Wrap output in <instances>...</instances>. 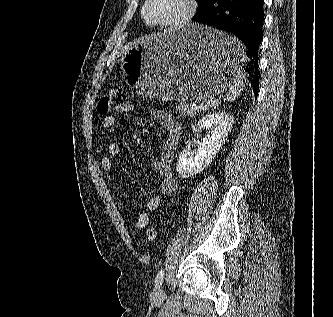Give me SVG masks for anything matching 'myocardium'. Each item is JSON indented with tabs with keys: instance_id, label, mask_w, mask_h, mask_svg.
<instances>
[{
	"instance_id": "f54148a6",
	"label": "myocardium",
	"mask_w": 333,
	"mask_h": 317,
	"mask_svg": "<svg viewBox=\"0 0 333 317\" xmlns=\"http://www.w3.org/2000/svg\"><path fill=\"white\" fill-rule=\"evenodd\" d=\"M150 2L151 0H145L141 9V14L146 24L152 27L170 29H177L186 25L193 18L197 6L195 0H182L184 8L178 17L168 21H158L148 15L147 9Z\"/></svg>"
}]
</instances>
